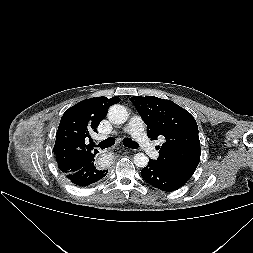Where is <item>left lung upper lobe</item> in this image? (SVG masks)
<instances>
[{
  "label": "left lung upper lobe",
  "instance_id": "obj_1",
  "mask_svg": "<svg viewBox=\"0 0 253 253\" xmlns=\"http://www.w3.org/2000/svg\"><path fill=\"white\" fill-rule=\"evenodd\" d=\"M130 101L147 125L151 140L159 136L165 143L157 149L156 162L187 182L195 172L201 155L198 127L194 117L170 100L155 96H133Z\"/></svg>",
  "mask_w": 253,
  "mask_h": 253
}]
</instances>
